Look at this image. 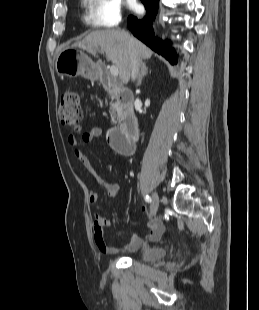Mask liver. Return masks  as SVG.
<instances>
[{"instance_id":"1","label":"liver","mask_w":259,"mask_h":310,"mask_svg":"<svg viewBox=\"0 0 259 310\" xmlns=\"http://www.w3.org/2000/svg\"><path fill=\"white\" fill-rule=\"evenodd\" d=\"M131 37V36H130ZM130 48L125 32L114 29L98 30L89 33L82 41L74 43L73 47L95 53L100 48L106 53L107 59L113 62L119 70L123 84H127L131 75V51L142 61L152 56V51L139 40L131 37Z\"/></svg>"}]
</instances>
